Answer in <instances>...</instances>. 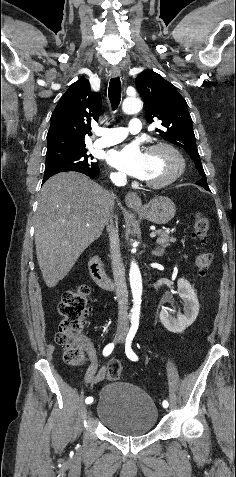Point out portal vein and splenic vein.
<instances>
[{
    "mask_svg": "<svg viewBox=\"0 0 236 477\" xmlns=\"http://www.w3.org/2000/svg\"><path fill=\"white\" fill-rule=\"evenodd\" d=\"M155 236H156V233H155V232H151V233H150V237H151V238H155Z\"/></svg>",
    "mask_w": 236,
    "mask_h": 477,
    "instance_id": "portal-vein-and-splenic-vein-1",
    "label": "portal vein and splenic vein"
}]
</instances>
